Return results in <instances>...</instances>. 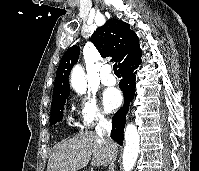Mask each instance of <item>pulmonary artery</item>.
Listing matches in <instances>:
<instances>
[{"label":"pulmonary artery","instance_id":"obj_1","mask_svg":"<svg viewBox=\"0 0 199 171\" xmlns=\"http://www.w3.org/2000/svg\"><path fill=\"white\" fill-rule=\"evenodd\" d=\"M101 83L106 86H112L116 84V77L112 73L110 65H104L100 70Z\"/></svg>","mask_w":199,"mask_h":171}]
</instances>
